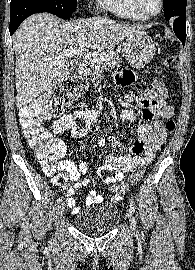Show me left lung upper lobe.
<instances>
[{"label":"left lung upper lobe","mask_w":195,"mask_h":270,"mask_svg":"<svg viewBox=\"0 0 195 270\" xmlns=\"http://www.w3.org/2000/svg\"><path fill=\"white\" fill-rule=\"evenodd\" d=\"M187 0H163L164 15L166 20L176 17H186Z\"/></svg>","instance_id":"left-lung-upper-lobe-1"}]
</instances>
